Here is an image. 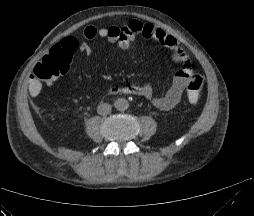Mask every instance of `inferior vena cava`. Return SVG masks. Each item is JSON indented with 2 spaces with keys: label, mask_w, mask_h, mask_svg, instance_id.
<instances>
[{
  "label": "inferior vena cava",
  "mask_w": 254,
  "mask_h": 216,
  "mask_svg": "<svg viewBox=\"0 0 254 216\" xmlns=\"http://www.w3.org/2000/svg\"><path fill=\"white\" fill-rule=\"evenodd\" d=\"M111 109H112V106L108 103H101L99 104V106L97 107V113L99 115H107L109 113H111Z\"/></svg>",
  "instance_id": "602c4592"
}]
</instances>
